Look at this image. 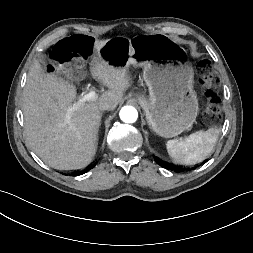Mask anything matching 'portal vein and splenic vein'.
<instances>
[{
  "instance_id": "portal-vein-and-splenic-vein-1",
  "label": "portal vein and splenic vein",
  "mask_w": 253,
  "mask_h": 253,
  "mask_svg": "<svg viewBox=\"0 0 253 253\" xmlns=\"http://www.w3.org/2000/svg\"><path fill=\"white\" fill-rule=\"evenodd\" d=\"M96 98H97L96 92L91 90L88 93L82 95L79 101L83 103V102L95 100Z\"/></svg>"
}]
</instances>
